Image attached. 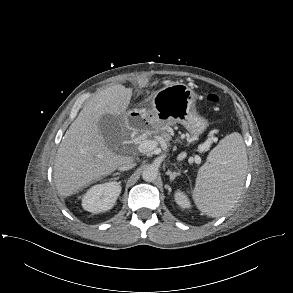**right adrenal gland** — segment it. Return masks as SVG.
Returning a JSON list of instances; mask_svg holds the SVG:
<instances>
[{"instance_id": "obj_1", "label": "right adrenal gland", "mask_w": 293, "mask_h": 293, "mask_svg": "<svg viewBox=\"0 0 293 293\" xmlns=\"http://www.w3.org/2000/svg\"><path fill=\"white\" fill-rule=\"evenodd\" d=\"M114 175H121V173L117 172V173H115Z\"/></svg>"}]
</instances>
